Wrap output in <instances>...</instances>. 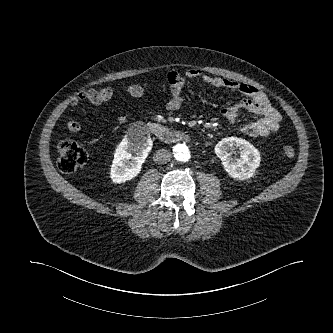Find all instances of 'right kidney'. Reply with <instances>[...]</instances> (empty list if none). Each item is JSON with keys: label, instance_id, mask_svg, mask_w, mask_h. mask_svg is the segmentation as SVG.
Here are the masks:
<instances>
[{"label": "right kidney", "instance_id": "obj_1", "mask_svg": "<svg viewBox=\"0 0 333 333\" xmlns=\"http://www.w3.org/2000/svg\"><path fill=\"white\" fill-rule=\"evenodd\" d=\"M152 148L151 138L145 135L125 137L114 153L110 169L113 183L120 184L135 178ZM130 151L134 152L132 156Z\"/></svg>", "mask_w": 333, "mask_h": 333}]
</instances>
